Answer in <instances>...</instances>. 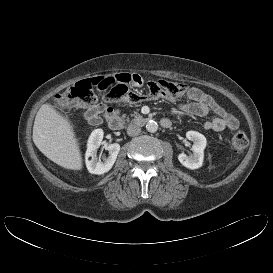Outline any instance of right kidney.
<instances>
[{
	"label": "right kidney",
	"mask_w": 273,
	"mask_h": 273,
	"mask_svg": "<svg viewBox=\"0 0 273 273\" xmlns=\"http://www.w3.org/2000/svg\"><path fill=\"white\" fill-rule=\"evenodd\" d=\"M103 135L102 129H95L88 139L85 159L87 169L92 174L101 175L108 172L114 165L120 151L118 143L108 145L109 157L103 158V161H101L97 156V150L101 145Z\"/></svg>",
	"instance_id": "1"
}]
</instances>
